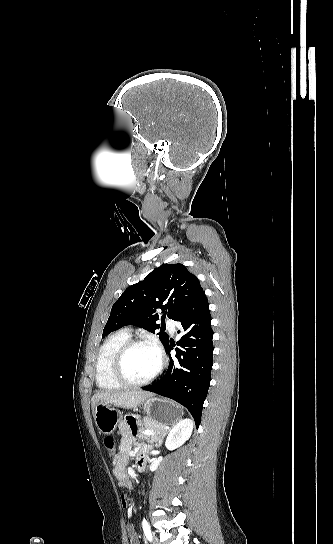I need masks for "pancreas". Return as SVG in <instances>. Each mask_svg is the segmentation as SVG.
Here are the masks:
<instances>
[{
  "instance_id": "obj_1",
  "label": "pancreas",
  "mask_w": 333,
  "mask_h": 544,
  "mask_svg": "<svg viewBox=\"0 0 333 544\" xmlns=\"http://www.w3.org/2000/svg\"><path fill=\"white\" fill-rule=\"evenodd\" d=\"M140 430H151L155 433H161L165 431V428L160 423L152 420L150 417H144L139 420ZM142 438L155 439L154 435H143Z\"/></svg>"
}]
</instances>
